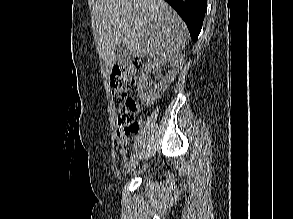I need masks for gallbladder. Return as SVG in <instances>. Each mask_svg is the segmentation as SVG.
<instances>
[{"label":"gallbladder","instance_id":"bac80fb5","mask_svg":"<svg viewBox=\"0 0 293 219\" xmlns=\"http://www.w3.org/2000/svg\"><path fill=\"white\" fill-rule=\"evenodd\" d=\"M130 59L131 55L129 53L128 46L122 41L119 45H117L115 51V64L122 67L126 65Z\"/></svg>","mask_w":293,"mask_h":219}]
</instances>
